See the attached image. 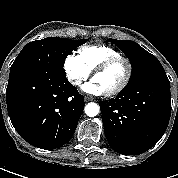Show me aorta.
<instances>
[{
	"instance_id": "1",
	"label": "aorta",
	"mask_w": 178,
	"mask_h": 178,
	"mask_svg": "<svg viewBox=\"0 0 178 178\" xmlns=\"http://www.w3.org/2000/svg\"><path fill=\"white\" fill-rule=\"evenodd\" d=\"M84 111L87 116L94 117L99 113L100 108L98 104L91 102L85 106Z\"/></svg>"
}]
</instances>
